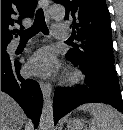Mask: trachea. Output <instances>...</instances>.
I'll return each mask as SVG.
<instances>
[{"label":"trachea","instance_id":"trachea-1","mask_svg":"<svg viewBox=\"0 0 123 130\" xmlns=\"http://www.w3.org/2000/svg\"><path fill=\"white\" fill-rule=\"evenodd\" d=\"M42 32L45 35L49 34L48 27L45 22V17L42 9L36 11V16L31 28L23 31H17L20 35L21 41H28L30 38L35 36L37 33Z\"/></svg>","mask_w":123,"mask_h":130}]
</instances>
